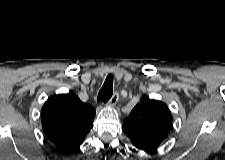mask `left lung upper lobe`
<instances>
[{
	"label": "left lung upper lobe",
	"instance_id": "obj_1",
	"mask_svg": "<svg viewBox=\"0 0 225 160\" xmlns=\"http://www.w3.org/2000/svg\"><path fill=\"white\" fill-rule=\"evenodd\" d=\"M172 115L166 104L144 99L123 122V132L139 150L151 152L167 137Z\"/></svg>",
	"mask_w": 225,
	"mask_h": 160
}]
</instances>
